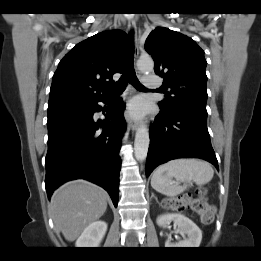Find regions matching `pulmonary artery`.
<instances>
[{
  "label": "pulmonary artery",
  "mask_w": 261,
  "mask_h": 261,
  "mask_svg": "<svg viewBox=\"0 0 261 261\" xmlns=\"http://www.w3.org/2000/svg\"><path fill=\"white\" fill-rule=\"evenodd\" d=\"M143 81L147 88L157 89L161 86V79L155 75H145L143 76Z\"/></svg>",
  "instance_id": "e3ab8cb5"
}]
</instances>
